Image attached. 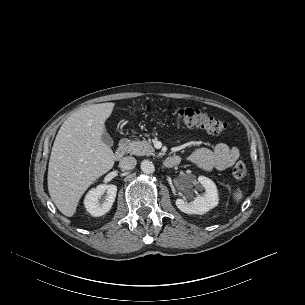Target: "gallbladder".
I'll return each mask as SVG.
<instances>
[{
  "label": "gallbladder",
  "instance_id": "gallbladder-1",
  "mask_svg": "<svg viewBox=\"0 0 305 305\" xmlns=\"http://www.w3.org/2000/svg\"><path fill=\"white\" fill-rule=\"evenodd\" d=\"M101 140L104 144H106L107 146H113V139L111 138V136L104 131V133L101 136Z\"/></svg>",
  "mask_w": 305,
  "mask_h": 305
}]
</instances>
